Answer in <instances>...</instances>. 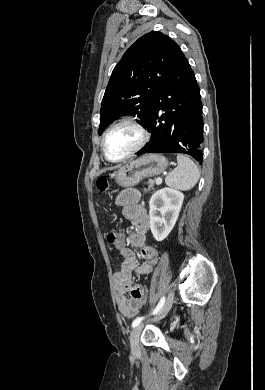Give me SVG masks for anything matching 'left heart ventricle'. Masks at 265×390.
<instances>
[{
    "instance_id": "b2bd125f",
    "label": "left heart ventricle",
    "mask_w": 265,
    "mask_h": 390,
    "mask_svg": "<svg viewBox=\"0 0 265 390\" xmlns=\"http://www.w3.org/2000/svg\"><path fill=\"white\" fill-rule=\"evenodd\" d=\"M138 141L137 132L128 126H121L113 130L106 140L107 156L111 160L122 158Z\"/></svg>"
}]
</instances>
